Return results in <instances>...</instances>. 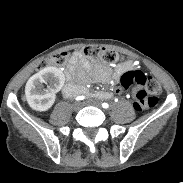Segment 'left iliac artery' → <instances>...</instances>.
Masks as SVG:
<instances>
[{"label": "left iliac artery", "mask_w": 183, "mask_h": 183, "mask_svg": "<svg viewBox=\"0 0 183 183\" xmlns=\"http://www.w3.org/2000/svg\"><path fill=\"white\" fill-rule=\"evenodd\" d=\"M102 107L107 109V108H109V104L104 102V103H102Z\"/></svg>", "instance_id": "left-iliac-artery-1"}]
</instances>
